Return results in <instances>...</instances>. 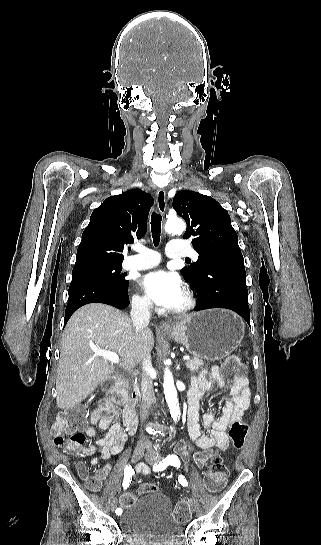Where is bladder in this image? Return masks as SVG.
Returning <instances> with one entry per match:
<instances>
[{
    "label": "bladder",
    "mask_w": 321,
    "mask_h": 545,
    "mask_svg": "<svg viewBox=\"0 0 321 545\" xmlns=\"http://www.w3.org/2000/svg\"><path fill=\"white\" fill-rule=\"evenodd\" d=\"M118 524L128 545H178L183 536L168 496L159 491L145 493L123 509Z\"/></svg>",
    "instance_id": "obj_1"
}]
</instances>
